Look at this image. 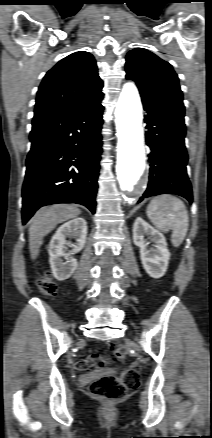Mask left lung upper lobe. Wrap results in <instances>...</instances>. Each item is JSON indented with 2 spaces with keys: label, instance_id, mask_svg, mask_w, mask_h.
<instances>
[{
  "label": "left lung upper lobe",
  "instance_id": "left-lung-upper-lobe-1",
  "mask_svg": "<svg viewBox=\"0 0 212 438\" xmlns=\"http://www.w3.org/2000/svg\"><path fill=\"white\" fill-rule=\"evenodd\" d=\"M125 66L126 78L136 82L142 99L184 111L178 77L168 62L135 48L127 54Z\"/></svg>",
  "mask_w": 212,
  "mask_h": 438
}]
</instances>
